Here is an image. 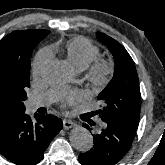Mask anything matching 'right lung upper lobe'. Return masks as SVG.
I'll return each mask as SVG.
<instances>
[{
    "mask_svg": "<svg viewBox=\"0 0 165 165\" xmlns=\"http://www.w3.org/2000/svg\"><path fill=\"white\" fill-rule=\"evenodd\" d=\"M50 32L47 30L14 31L0 41V61H10L21 57L26 45L33 40H42ZM25 112L21 107L0 98V124Z\"/></svg>",
    "mask_w": 165,
    "mask_h": 165,
    "instance_id": "1",
    "label": "right lung upper lobe"
}]
</instances>
